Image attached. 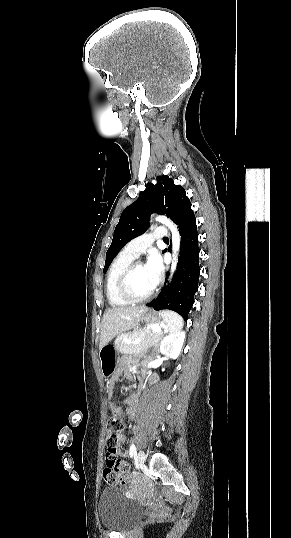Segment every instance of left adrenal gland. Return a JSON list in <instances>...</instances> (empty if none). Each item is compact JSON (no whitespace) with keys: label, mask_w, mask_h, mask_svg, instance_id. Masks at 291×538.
<instances>
[{"label":"left adrenal gland","mask_w":291,"mask_h":538,"mask_svg":"<svg viewBox=\"0 0 291 538\" xmlns=\"http://www.w3.org/2000/svg\"><path fill=\"white\" fill-rule=\"evenodd\" d=\"M158 345H159V344L156 345V348H157V349H158Z\"/></svg>","instance_id":"a2214340"}]
</instances>
